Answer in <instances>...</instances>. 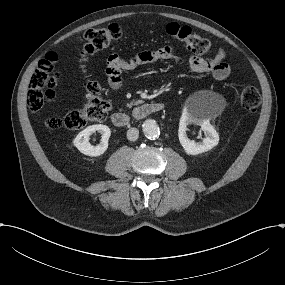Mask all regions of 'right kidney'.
I'll list each match as a JSON object with an SVG mask.
<instances>
[{"mask_svg":"<svg viewBox=\"0 0 285 285\" xmlns=\"http://www.w3.org/2000/svg\"><path fill=\"white\" fill-rule=\"evenodd\" d=\"M95 131L102 134L101 142L97 146H93L89 142V136ZM110 135L111 131L108 126L101 124L91 125L79 132L73 143L81 153L88 156H99L107 150Z\"/></svg>","mask_w":285,"mask_h":285,"instance_id":"ca27d5eb","label":"right kidney"}]
</instances>
